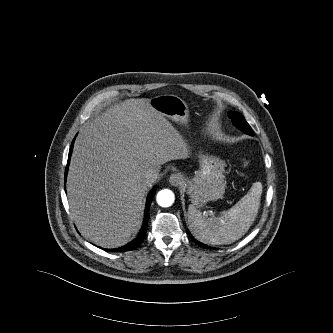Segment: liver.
Segmentation results:
<instances>
[{
  "label": "liver",
  "instance_id": "liver-1",
  "mask_svg": "<svg viewBox=\"0 0 333 333\" xmlns=\"http://www.w3.org/2000/svg\"><path fill=\"white\" fill-rule=\"evenodd\" d=\"M185 143L150 99L116 103L76 138L67 178L81 234L104 248L125 245L143 217L149 169L184 159Z\"/></svg>",
  "mask_w": 333,
  "mask_h": 333
}]
</instances>
